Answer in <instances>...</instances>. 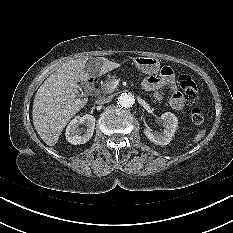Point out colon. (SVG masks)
<instances>
[{
	"mask_svg": "<svg viewBox=\"0 0 233 233\" xmlns=\"http://www.w3.org/2000/svg\"><path fill=\"white\" fill-rule=\"evenodd\" d=\"M184 99L191 105L199 101V92L195 80L186 73H181L178 76ZM191 120L195 124H201L204 121V113L199 107H194L191 110Z\"/></svg>",
	"mask_w": 233,
	"mask_h": 233,
	"instance_id": "5ec220e1",
	"label": "colon"
}]
</instances>
